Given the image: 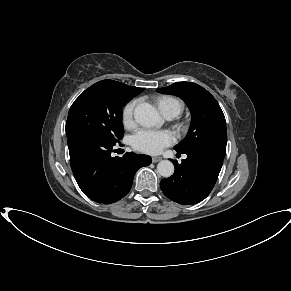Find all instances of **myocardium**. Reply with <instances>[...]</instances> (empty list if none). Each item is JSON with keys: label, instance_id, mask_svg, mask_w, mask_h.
<instances>
[{"label": "myocardium", "instance_id": "1", "mask_svg": "<svg viewBox=\"0 0 291 291\" xmlns=\"http://www.w3.org/2000/svg\"><path fill=\"white\" fill-rule=\"evenodd\" d=\"M181 128L182 129H186V125H181Z\"/></svg>", "mask_w": 291, "mask_h": 291}]
</instances>
